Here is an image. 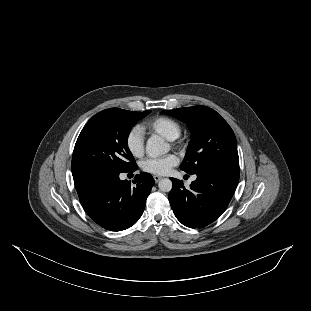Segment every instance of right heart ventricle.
<instances>
[{"instance_id": "1", "label": "right heart ventricle", "mask_w": 311, "mask_h": 311, "mask_svg": "<svg viewBox=\"0 0 311 311\" xmlns=\"http://www.w3.org/2000/svg\"><path fill=\"white\" fill-rule=\"evenodd\" d=\"M147 128L167 140H176L183 132L181 123L169 116H159L150 120Z\"/></svg>"}]
</instances>
